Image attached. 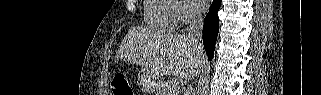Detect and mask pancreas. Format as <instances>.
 Here are the masks:
<instances>
[{
    "mask_svg": "<svg viewBox=\"0 0 321 95\" xmlns=\"http://www.w3.org/2000/svg\"><path fill=\"white\" fill-rule=\"evenodd\" d=\"M156 95H179V88H172L169 82L159 84Z\"/></svg>",
    "mask_w": 321,
    "mask_h": 95,
    "instance_id": "cf45deb5",
    "label": "pancreas"
}]
</instances>
